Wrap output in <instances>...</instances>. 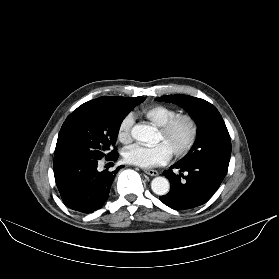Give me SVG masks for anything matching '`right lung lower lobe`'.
Wrapping results in <instances>:
<instances>
[{
    "mask_svg": "<svg viewBox=\"0 0 279 279\" xmlns=\"http://www.w3.org/2000/svg\"><path fill=\"white\" fill-rule=\"evenodd\" d=\"M115 152L107 161L118 159ZM97 159H72L54 162V175L63 202L75 211L92 213L107 200L115 171H99Z\"/></svg>",
    "mask_w": 279,
    "mask_h": 279,
    "instance_id": "right-lung-lower-lobe-1",
    "label": "right lung lower lobe"
}]
</instances>
